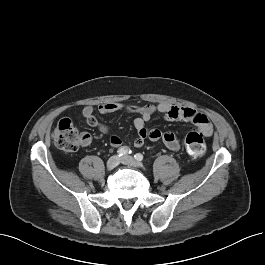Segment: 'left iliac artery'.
<instances>
[{
  "label": "left iliac artery",
  "instance_id": "44dca946",
  "mask_svg": "<svg viewBox=\"0 0 265 265\" xmlns=\"http://www.w3.org/2000/svg\"><path fill=\"white\" fill-rule=\"evenodd\" d=\"M134 158L137 160V161H142L143 160V155L140 154V153H137L134 155Z\"/></svg>",
  "mask_w": 265,
  "mask_h": 265
}]
</instances>
